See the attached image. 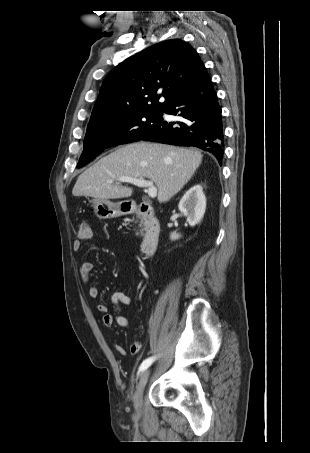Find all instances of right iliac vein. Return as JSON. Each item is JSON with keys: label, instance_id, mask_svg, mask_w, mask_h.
<instances>
[{"label": "right iliac vein", "instance_id": "obj_1", "mask_svg": "<svg viewBox=\"0 0 310 453\" xmlns=\"http://www.w3.org/2000/svg\"><path fill=\"white\" fill-rule=\"evenodd\" d=\"M149 375H150V370L147 369V370L143 371V373L140 376V380H139V383L137 385V388H136V391L134 394V406H135L136 412H139L141 410L143 392H144L145 386L147 384Z\"/></svg>", "mask_w": 310, "mask_h": 453}]
</instances>
